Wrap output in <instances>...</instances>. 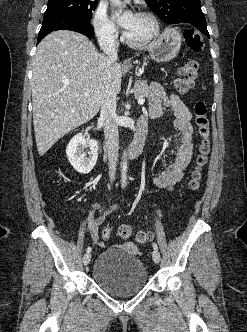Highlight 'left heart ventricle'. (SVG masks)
Instances as JSON below:
<instances>
[{
    "mask_svg": "<svg viewBox=\"0 0 247 332\" xmlns=\"http://www.w3.org/2000/svg\"><path fill=\"white\" fill-rule=\"evenodd\" d=\"M151 30V21L146 17L136 15L132 26L126 31V34L133 40H140L146 37Z\"/></svg>",
    "mask_w": 247,
    "mask_h": 332,
    "instance_id": "left-heart-ventricle-1",
    "label": "left heart ventricle"
}]
</instances>
